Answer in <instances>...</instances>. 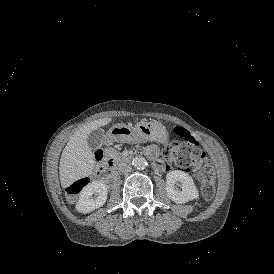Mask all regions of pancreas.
I'll return each instance as SVG.
<instances>
[{
    "label": "pancreas",
    "instance_id": "pancreas-1",
    "mask_svg": "<svg viewBox=\"0 0 274 274\" xmlns=\"http://www.w3.org/2000/svg\"><path fill=\"white\" fill-rule=\"evenodd\" d=\"M112 155H114L116 162H118V163L121 162V158L119 156H117L114 152H112Z\"/></svg>",
    "mask_w": 274,
    "mask_h": 274
}]
</instances>
